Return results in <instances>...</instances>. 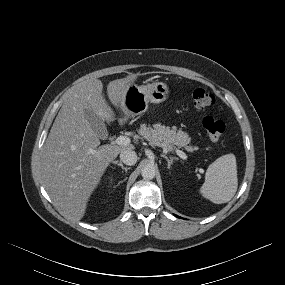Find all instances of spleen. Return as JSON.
Returning a JSON list of instances; mask_svg holds the SVG:
<instances>
[{
    "mask_svg": "<svg viewBox=\"0 0 285 285\" xmlns=\"http://www.w3.org/2000/svg\"><path fill=\"white\" fill-rule=\"evenodd\" d=\"M238 187L237 165L234 154H226L209 165L200 192L215 204L229 202Z\"/></svg>",
    "mask_w": 285,
    "mask_h": 285,
    "instance_id": "1",
    "label": "spleen"
}]
</instances>
